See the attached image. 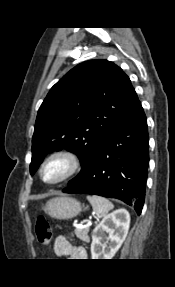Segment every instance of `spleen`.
Masks as SVG:
<instances>
[{"label":"spleen","instance_id":"1","mask_svg":"<svg viewBox=\"0 0 175 287\" xmlns=\"http://www.w3.org/2000/svg\"><path fill=\"white\" fill-rule=\"evenodd\" d=\"M87 200L90 202L93 211L97 215L105 216L111 209L114 208L113 204L107 198L102 196H87Z\"/></svg>","mask_w":175,"mask_h":287}]
</instances>
